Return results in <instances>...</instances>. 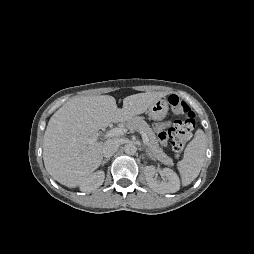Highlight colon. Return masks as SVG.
I'll return each mask as SVG.
<instances>
[{"instance_id":"5ec220e1","label":"colon","mask_w":254,"mask_h":254,"mask_svg":"<svg viewBox=\"0 0 254 254\" xmlns=\"http://www.w3.org/2000/svg\"><path fill=\"white\" fill-rule=\"evenodd\" d=\"M169 105L181 119L172 122L168 129L160 133V139L167 141L178 156L192 137L195 128V114L190 106L178 97L172 95L168 99Z\"/></svg>"}]
</instances>
